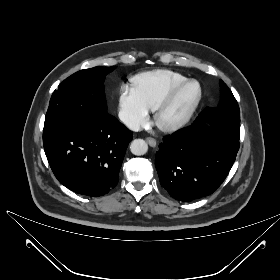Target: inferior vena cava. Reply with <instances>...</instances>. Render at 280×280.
Listing matches in <instances>:
<instances>
[{
    "label": "inferior vena cava",
    "mask_w": 280,
    "mask_h": 280,
    "mask_svg": "<svg viewBox=\"0 0 280 280\" xmlns=\"http://www.w3.org/2000/svg\"><path fill=\"white\" fill-rule=\"evenodd\" d=\"M119 119L132 131H139L140 130V123L139 121L129 114L126 111H120L119 114Z\"/></svg>",
    "instance_id": "1"
}]
</instances>
